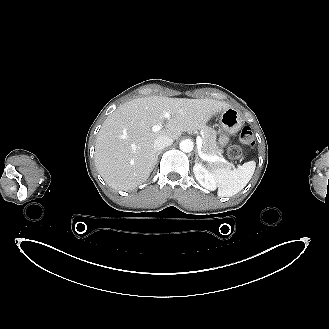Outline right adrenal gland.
I'll use <instances>...</instances> for the list:
<instances>
[{
  "instance_id": "2a0ac1e0",
  "label": "right adrenal gland",
  "mask_w": 329,
  "mask_h": 329,
  "mask_svg": "<svg viewBox=\"0 0 329 329\" xmlns=\"http://www.w3.org/2000/svg\"><path fill=\"white\" fill-rule=\"evenodd\" d=\"M160 153H161V151H158V152L156 153V156H155V164L157 163V159H158V156H159Z\"/></svg>"
}]
</instances>
